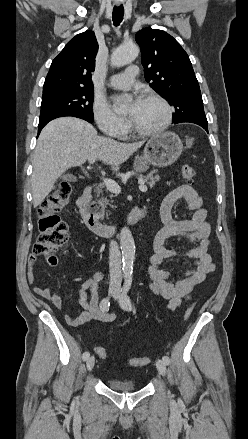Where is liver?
Listing matches in <instances>:
<instances>
[{"label":"liver","mask_w":248,"mask_h":439,"mask_svg":"<svg viewBox=\"0 0 248 439\" xmlns=\"http://www.w3.org/2000/svg\"><path fill=\"white\" fill-rule=\"evenodd\" d=\"M143 142L121 143L97 135L88 122L61 117L41 131L33 154L31 189L33 206H39L55 188L57 179L70 167L81 166L90 158L100 159L118 170Z\"/></svg>","instance_id":"obj_1"}]
</instances>
